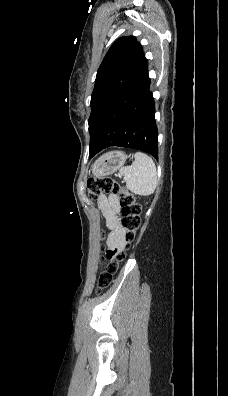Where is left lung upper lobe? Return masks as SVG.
<instances>
[{"mask_svg":"<svg viewBox=\"0 0 228 396\" xmlns=\"http://www.w3.org/2000/svg\"><path fill=\"white\" fill-rule=\"evenodd\" d=\"M148 67L142 46L133 36L115 41L104 57L91 95L90 156L98 152L97 134L102 126L119 114L128 104L123 100L113 108L119 97L143 74Z\"/></svg>","mask_w":228,"mask_h":396,"instance_id":"1","label":"left lung upper lobe"}]
</instances>
